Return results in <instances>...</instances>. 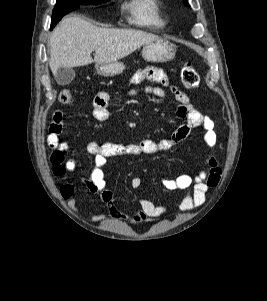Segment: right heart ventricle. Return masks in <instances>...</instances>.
<instances>
[{
    "label": "right heart ventricle",
    "instance_id": "e07e8e85",
    "mask_svg": "<svg viewBox=\"0 0 267 301\" xmlns=\"http://www.w3.org/2000/svg\"><path fill=\"white\" fill-rule=\"evenodd\" d=\"M130 20L141 26L162 27L165 18L159 0H131L125 4Z\"/></svg>",
    "mask_w": 267,
    "mask_h": 301
}]
</instances>
